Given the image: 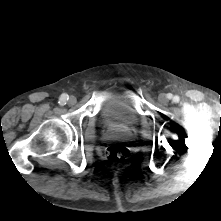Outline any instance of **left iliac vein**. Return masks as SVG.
<instances>
[{
  "instance_id": "4c4485c4",
  "label": "left iliac vein",
  "mask_w": 221,
  "mask_h": 221,
  "mask_svg": "<svg viewBox=\"0 0 221 221\" xmlns=\"http://www.w3.org/2000/svg\"><path fill=\"white\" fill-rule=\"evenodd\" d=\"M158 100H159V102L162 103V104H167L168 101H169L167 95L164 94V93H161V94L158 96Z\"/></svg>"
}]
</instances>
